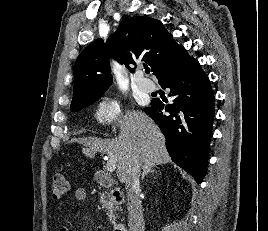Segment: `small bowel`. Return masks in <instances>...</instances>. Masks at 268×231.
Instances as JSON below:
<instances>
[{
  "label": "small bowel",
  "instance_id": "c3829d8e",
  "mask_svg": "<svg viewBox=\"0 0 268 231\" xmlns=\"http://www.w3.org/2000/svg\"><path fill=\"white\" fill-rule=\"evenodd\" d=\"M87 197V191L84 187L78 186L73 189V198L77 201H84ZM69 225H63L60 231H70Z\"/></svg>",
  "mask_w": 268,
  "mask_h": 231
}]
</instances>
